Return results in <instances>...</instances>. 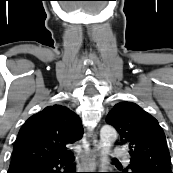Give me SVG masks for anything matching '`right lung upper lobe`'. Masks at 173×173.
<instances>
[{
    "label": "right lung upper lobe",
    "mask_w": 173,
    "mask_h": 173,
    "mask_svg": "<svg viewBox=\"0 0 173 173\" xmlns=\"http://www.w3.org/2000/svg\"><path fill=\"white\" fill-rule=\"evenodd\" d=\"M82 135L81 121L73 111L62 105L48 106L21 127L9 168L67 157L72 152L66 145Z\"/></svg>",
    "instance_id": "right-lung-upper-lobe-1"
}]
</instances>
